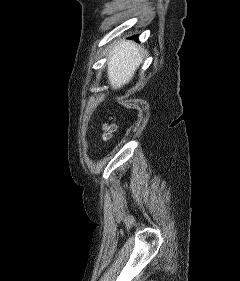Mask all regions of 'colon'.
I'll use <instances>...</instances> for the list:
<instances>
[{
	"label": "colon",
	"instance_id": "colon-1",
	"mask_svg": "<svg viewBox=\"0 0 240 281\" xmlns=\"http://www.w3.org/2000/svg\"><path fill=\"white\" fill-rule=\"evenodd\" d=\"M114 131V125H106L103 132V139L108 140Z\"/></svg>",
	"mask_w": 240,
	"mask_h": 281
}]
</instances>
